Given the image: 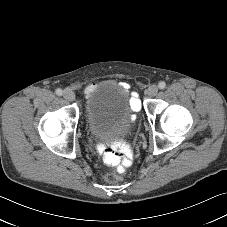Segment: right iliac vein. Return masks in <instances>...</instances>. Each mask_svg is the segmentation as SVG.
Listing matches in <instances>:
<instances>
[{
	"instance_id": "1",
	"label": "right iliac vein",
	"mask_w": 227,
	"mask_h": 227,
	"mask_svg": "<svg viewBox=\"0 0 227 227\" xmlns=\"http://www.w3.org/2000/svg\"><path fill=\"white\" fill-rule=\"evenodd\" d=\"M63 96L68 101H74L75 100V94L71 89H65Z\"/></svg>"
}]
</instances>
